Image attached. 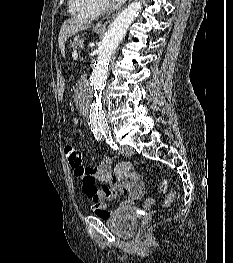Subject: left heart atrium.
Segmentation results:
<instances>
[{"mask_svg":"<svg viewBox=\"0 0 233 263\" xmlns=\"http://www.w3.org/2000/svg\"><path fill=\"white\" fill-rule=\"evenodd\" d=\"M117 3L123 2L124 0H114Z\"/></svg>","mask_w":233,"mask_h":263,"instance_id":"left-heart-atrium-1","label":"left heart atrium"}]
</instances>
